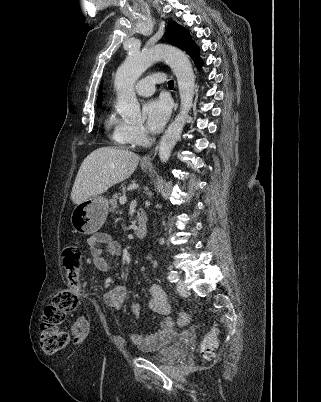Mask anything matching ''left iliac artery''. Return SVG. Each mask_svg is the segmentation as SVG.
Wrapping results in <instances>:
<instances>
[{
  "mask_svg": "<svg viewBox=\"0 0 321 402\" xmlns=\"http://www.w3.org/2000/svg\"><path fill=\"white\" fill-rule=\"evenodd\" d=\"M168 279L170 280V282L176 283L179 280V276L176 271H170L169 275H168Z\"/></svg>",
  "mask_w": 321,
  "mask_h": 402,
  "instance_id": "left-iliac-artery-1",
  "label": "left iliac artery"
}]
</instances>
